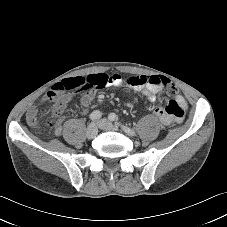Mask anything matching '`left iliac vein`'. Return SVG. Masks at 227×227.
<instances>
[{"label":"left iliac vein","instance_id":"obj_1","mask_svg":"<svg viewBox=\"0 0 227 227\" xmlns=\"http://www.w3.org/2000/svg\"><path fill=\"white\" fill-rule=\"evenodd\" d=\"M97 125L99 126L100 129L102 130H116V127L108 120L106 119H101L97 122Z\"/></svg>","mask_w":227,"mask_h":227}]
</instances>
